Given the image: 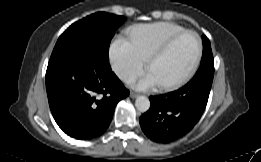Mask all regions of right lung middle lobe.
Here are the masks:
<instances>
[{"label":"right lung middle lobe","mask_w":261,"mask_h":162,"mask_svg":"<svg viewBox=\"0 0 261 162\" xmlns=\"http://www.w3.org/2000/svg\"><path fill=\"white\" fill-rule=\"evenodd\" d=\"M125 17L98 12L79 20L59 37L51 58L78 51H90L108 60L109 45Z\"/></svg>","instance_id":"dd1d6c3e"}]
</instances>
